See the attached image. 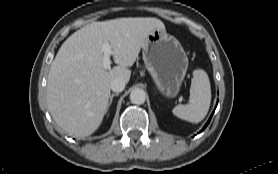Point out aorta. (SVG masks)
Returning a JSON list of instances; mask_svg holds the SVG:
<instances>
[{"mask_svg": "<svg viewBox=\"0 0 278 174\" xmlns=\"http://www.w3.org/2000/svg\"><path fill=\"white\" fill-rule=\"evenodd\" d=\"M146 100V92L143 89L136 88L130 93V101L133 104L141 105Z\"/></svg>", "mask_w": 278, "mask_h": 174, "instance_id": "obj_1", "label": "aorta"}]
</instances>
